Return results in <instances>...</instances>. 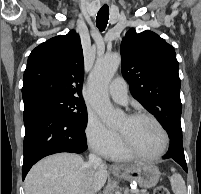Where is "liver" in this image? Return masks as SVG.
Wrapping results in <instances>:
<instances>
[{
  "label": "liver",
  "instance_id": "obj_1",
  "mask_svg": "<svg viewBox=\"0 0 201 194\" xmlns=\"http://www.w3.org/2000/svg\"><path fill=\"white\" fill-rule=\"evenodd\" d=\"M107 166L87 168L82 157L71 153L48 156L35 164L24 181L25 194H79L90 183L94 194L105 185Z\"/></svg>",
  "mask_w": 201,
  "mask_h": 194
}]
</instances>
